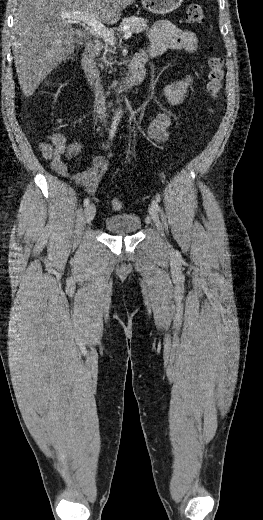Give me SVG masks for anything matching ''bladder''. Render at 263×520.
<instances>
[{
  "instance_id": "bladder-1",
  "label": "bladder",
  "mask_w": 263,
  "mask_h": 520,
  "mask_svg": "<svg viewBox=\"0 0 263 520\" xmlns=\"http://www.w3.org/2000/svg\"><path fill=\"white\" fill-rule=\"evenodd\" d=\"M104 229L115 235H128L138 232L142 227V219L135 213L110 215L103 222Z\"/></svg>"
}]
</instances>
